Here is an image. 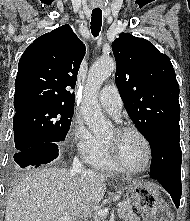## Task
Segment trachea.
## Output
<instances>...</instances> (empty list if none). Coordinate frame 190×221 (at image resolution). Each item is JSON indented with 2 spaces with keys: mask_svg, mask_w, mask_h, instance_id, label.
Instances as JSON below:
<instances>
[{
  "mask_svg": "<svg viewBox=\"0 0 190 221\" xmlns=\"http://www.w3.org/2000/svg\"><path fill=\"white\" fill-rule=\"evenodd\" d=\"M102 26V11L93 10L91 18V32L94 37H97L101 31Z\"/></svg>",
  "mask_w": 190,
  "mask_h": 221,
  "instance_id": "obj_1",
  "label": "trachea"
}]
</instances>
